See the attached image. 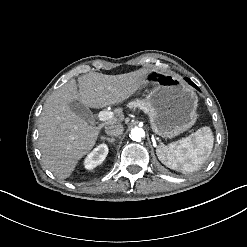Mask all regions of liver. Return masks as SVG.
<instances>
[{
  "instance_id": "6515ba94",
  "label": "liver",
  "mask_w": 247,
  "mask_h": 247,
  "mask_svg": "<svg viewBox=\"0 0 247 247\" xmlns=\"http://www.w3.org/2000/svg\"><path fill=\"white\" fill-rule=\"evenodd\" d=\"M147 69L120 75L89 72L76 81L69 80L46 100L39 118V147L43 164L58 178L70 175L77 160L89 151L98 129L73 113L69 102L80 99L93 108L119 103L138 90ZM115 122L110 119L102 124Z\"/></svg>"
}]
</instances>
